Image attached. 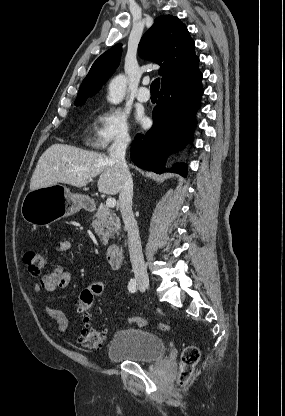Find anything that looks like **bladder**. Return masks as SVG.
Listing matches in <instances>:
<instances>
[{"label": "bladder", "instance_id": "1", "mask_svg": "<svg viewBox=\"0 0 285 416\" xmlns=\"http://www.w3.org/2000/svg\"><path fill=\"white\" fill-rule=\"evenodd\" d=\"M166 341L151 330L142 328L120 329L113 335L108 355L115 361L150 363L162 358Z\"/></svg>", "mask_w": 285, "mask_h": 416}]
</instances>
